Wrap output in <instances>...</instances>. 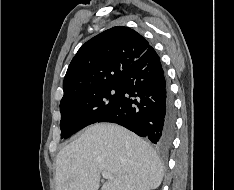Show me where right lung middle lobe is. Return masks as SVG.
Instances as JSON below:
<instances>
[{
	"mask_svg": "<svg viewBox=\"0 0 234 190\" xmlns=\"http://www.w3.org/2000/svg\"><path fill=\"white\" fill-rule=\"evenodd\" d=\"M120 92L119 84H113L83 92L60 102L61 139H66L80 129L98 122L115 106Z\"/></svg>",
	"mask_w": 234,
	"mask_h": 190,
	"instance_id": "right-lung-middle-lobe-1",
	"label": "right lung middle lobe"
}]
</instances>
